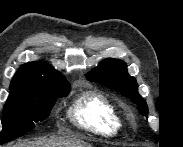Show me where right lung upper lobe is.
Segmentation results:
<instances>
[{"instance_id": "obj_1", "label": "right lung upper lobe", "mask_w": 183, "mask_h": 147, "mask_svg": "<svg viewBox=\"0 0 183 147\" xmlns=\"http://www.w3.org/2000/svg\"><path fill=\"white\" fill-rule=\"evenodd\" d=\"M67 85V80L52 66L44 62H29L16 72L10 88H62Z\"/></svg>"}]
</instances>
